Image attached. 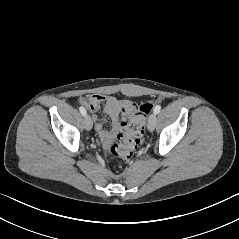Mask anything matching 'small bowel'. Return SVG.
Here are the masks:
<instances>
[{
  "label": "small bowel",
  "instance_id": "1",
  "mask_svg": "<svg viewBox=\"0 0 239 239\" xmlns=\"http://www.w3.org/2000/svg\"><path fill=\"white\" fill-rule=\"evenodd\" d=\"M84 103L92 113H95L102 103L104 104V110L111 119V129H105L96 115H93V120L95 121V130L106 147L121 130V121L126 120L139 109V106L133 101L119 100L114 96L104 94L91 95Z\"/></svg>",
  "mask_w": 239,
  "mask_h": 239
}]
</instances>
